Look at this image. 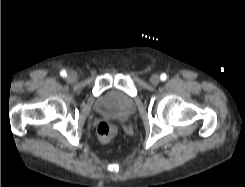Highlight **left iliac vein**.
Listing matches in <instances>:
<instances>
[{
    "mask_svg": "<svg viewBox=\"0 0 245 187\" xmlns=\"http://www.w3.org/2000/svg\"><path fill=\"white\" fill-rule=\"evenodd\" d=\"M150 82H151L153 85H158L159 82H160V77H159L157 74H153V75L150 77Z\"/></svg>",
    "mask_w": 245,
    "mask_h": 187,
    "instance_id": "1",
    "label": "left iliac vein"
}]
</instances>
